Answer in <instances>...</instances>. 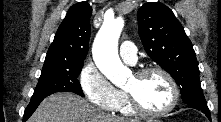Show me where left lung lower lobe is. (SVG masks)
Masks as SVG:
<instances>
[{
	"label": "left lung lower lobe",
	"mask_w": 221,
	"mask_h": 122,
	"mask_svg": "<svg viewBox=\"0 0 221 122\" xmlns=\"http://www.w3.org/2000/svg\"><path fill=\"white\" fill-rule=\"evenodd\" d=\"M188 106L190 108H195L197 110H201L202 112H204L206 114L208 119L211 120L210 111H209L206 103L191 104V105H188Z\"/></svg>",
	"instance_id": "1"
}]
</instances>
